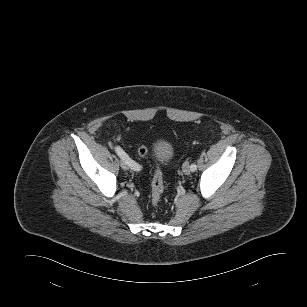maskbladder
Masks as SVG:
<instances>
[{
	"label": "bladder",
	"instance_id": "1",
	"mask_svg": "<svg viewBox=\"0 0 307 307\" xmlns=\"http://www.w3.org/2000/svg\"><path fill=\"white\" fill-rule=\"evenodd\" d=\"M152 154L157 162L166 165L173 157V147L165 140H158L152 147Z\"/></svg>",
	"mask_w": 307,
	"mask_h": 307
}]
</instances>
